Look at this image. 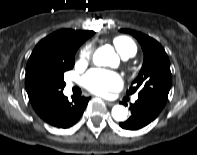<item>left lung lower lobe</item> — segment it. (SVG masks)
I'll list each match as a JSON object with an SVG mask.
<instances>
[{
	"mask_svg": "<svg viewBox=\"0 0 197 155\" xmlns=\"http://www.w3.org/2000/svg\"><path fill=\"white\" fill-rule=\"evenodd\" d=\"M130 109L131 117L125 122H120L119 125L127 130H138L152 122L163 108L150 101L138 98L134 104L130 105Z\"/></svg>",
	"mask_w": 197,
	"mask_h": 155,
	"instance_id": "left-lung-lower-lobe-1",
	"label": "left lung lower lobe"
}]
</instances>
